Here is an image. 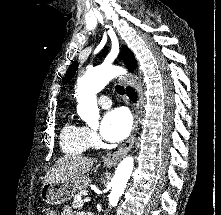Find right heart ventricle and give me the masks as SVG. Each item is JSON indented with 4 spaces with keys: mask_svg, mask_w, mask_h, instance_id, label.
I'll return each instance as SVG.
<instances>
[{
    "mask_svg": "<svg viewBox=\"0 0 221 215\" xmlns=\"http://www.w3.org/2000/svg\"><path fill=\"white\" fill-rule=\"evenodd\" d=\"M60 145L66 154H81L87 150L88 142L85 127L67 122L62 128Z\"/></svg>",
    "mask_w": 221,
    "mask_h": 215,
    "instance_id": "obj_1",
    "label": "right heart ventricle"
}]
</instances>
